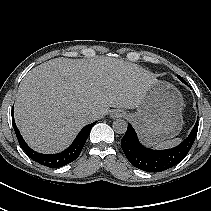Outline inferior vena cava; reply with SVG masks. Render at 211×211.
<instances>
[{
  "label": "inferior vena cava",
  "mask_w": 211,
  "mask_h": 211,
  "mask_svg": "<svg viewBox=\"0 0 211 211\" xmlns=\"http://www.w3.org/2000/svg\"><path fill=\"white\" fill-rule=\"evenodd\" d=\"M91 118L92 119H94V120H96V119H98L99 118V114L97 113V112H93V113H91Z\"/></svg>",
  "instance_id": "inferior-vena-cava-1"
}]
</instances>
